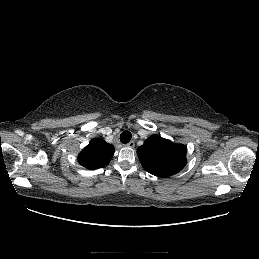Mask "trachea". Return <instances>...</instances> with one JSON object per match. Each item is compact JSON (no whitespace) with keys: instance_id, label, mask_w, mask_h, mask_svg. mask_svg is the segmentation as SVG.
<instances>
[{"instance_id":"obj_1","label":"trachea","mask_w":259,"mask_h":259,"mask_svg":"<svg viewBox=\"0 0 259 259\" xmlns=\"http://www.w3.org/2000/svg\"><path fill=\"white\" fill-rule=\"evenodd\" d=\"M132 138V134L129 131H123L120 135V141L123 144L128 143Z\"/></svg>"}]
</instances>
